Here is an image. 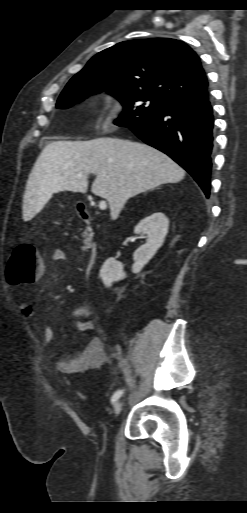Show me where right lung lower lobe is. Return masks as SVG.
Masks as SVG:
<instances>
[{"label": "right lung lower lobe", "mask_w": 247, "mask_h": 513, "mask_svg": "<svg viewBox=\"0 0 247 513\" xmlns=\"http://www.w3.org/2000/svg\"><path fill=\"white\" fill-rule=\"evenodd\" d=\"M213 115L208 96L166 104L150 119L129 128L181 165L210 194Z\"/></svg>", "instance_id": "obj_1"}]
</instances>
